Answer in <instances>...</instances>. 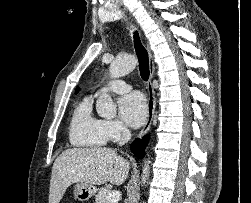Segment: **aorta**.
<instances>
[{"instance_id":"aorta-1","label":"aorta","mask_w":251,"mask_h":203,"mask_svg":"<svg viewBox=\"0 0 251 203\" xmlns=\"http://www.w3.org/2000/svg\"><path fill=\"white\" fill-rule=\"evenodd\" d=\"M137 59L134 56H124L116 58L109 67L111 78H119L127 75L136 67ZM96 110L99 116L107 119L116 116V105L114 104L111 96L107 93H102L96 102ZM151 161L144 160V167L141 176L142 183L145 184L149 178Z\"/></svg>"}]
</instances>
